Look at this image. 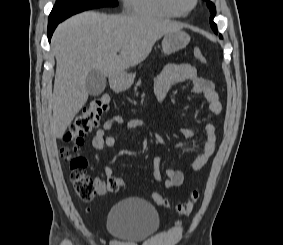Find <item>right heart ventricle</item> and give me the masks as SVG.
Instances as JSON below:
<instances>
[{
  "mask_svg": "<svg viewBox=\"0 0 283 245\" xmlns=\"http://www.w3.org/2000/svg\"><path fill=\"white\" fill-rule=\"evenodd\" d=\"M124 5L129 12L140 15L166 19L183 16L176 0H124Z\"/></svg>",
  "mask_w": 283,
  "mask_h": 245,
  "instance_id": "obj_1",
  "label": "right heart ventricle"
}]
</instances>
